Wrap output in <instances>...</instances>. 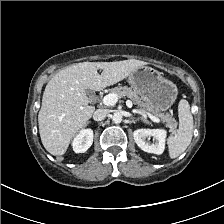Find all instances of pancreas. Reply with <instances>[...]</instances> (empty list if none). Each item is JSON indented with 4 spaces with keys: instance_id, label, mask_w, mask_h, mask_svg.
Returning a JSON list of instances; mask_svg holds the SVG:
<instances>
[{
    "instance_id": "cf45deb5",
    "label": "pancreas",
    "mask_w": 224,
    "mask_h": 224,
    "mask_svg": "<svg viewBox=\"0 0 224 224\" xmlns=\"http://www.w3.org/2000/svg\"><path fill=\"white\" fill-rule=\"evenodd\" d=\"M111 93L116 94L118 98H129L133 101L135 105L146 110L149 113L154 114L156 117L160 118L161 121L166 122V126L173 130L176 127L175 119L170 114L161 113L153 109L150 105L144 102L138 93L128 86H118L112 88Z\"/></svg>"
}]
</instances>
